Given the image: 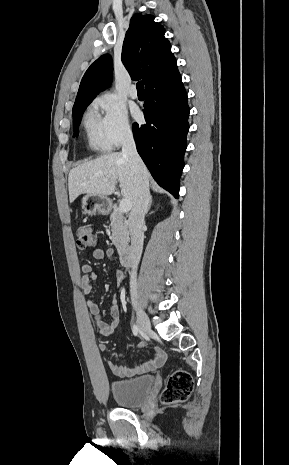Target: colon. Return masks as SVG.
Returning <instances> with one entry per match:
<instances>
[{"label":"colon","mask_w":289,"mask_h":465,"mask_svg":"<svg viewBox=\"0 0 289 465\" xmlns=\"http://www.w3.org/2000/svg\"><path fill=\"white\" fill-rule=\"evenodd\" d=\"M77 247L81 250L95 246L96 237L91 226L82 225L76 231ZM193 390V380L186 371H176L168 379L165 389L161 394V400L165 404H173L185 401Z\"/></svg>","instance_id":"1"}]
</instances>
